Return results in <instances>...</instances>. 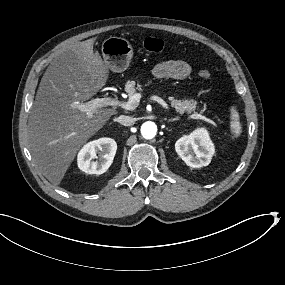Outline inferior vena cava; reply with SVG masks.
Segmentation results:
<instances>
[{
  "label": "inferior vena cava",
  "instance_id": "1",
  "mask_svg": "<svg viewBox=\"0 0 285 285\" xmlns=\"http://www.w3.org/2000/svg\"><path fill=\"white\" fill-rule=\"evenodd\" d=\"M118 119L119 122L124 126H131L135 123V119L130 116H120Z\"/></svg>",
  "mask_w": 285,
  "mask_h": 285
}]
</instances>
